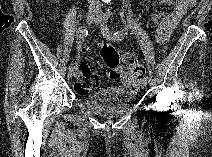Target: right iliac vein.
<instances>
[{
    "label": "right iliac vein",
    "mask_w": 212,
    "mask_h": 157,
    "mask_svg": "<svg viewBox=\"0 0 212 157\" xmlns=\"http://www.w3.org/2000/svg\"><path fill=\"white\" fill-rule=\"evenodd\" d=\"M97 19H98V17L94 13H91V12L88 13L87 16H86L87 24H91L92 22H95ZM67 76H68L69 79H72L73 76H74V70L73 69L69 70Z\"/></svg>",
    "instance_id": "1"
}]
</instances>
